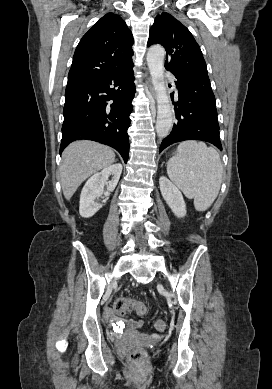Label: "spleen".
I'll list each match as a JSON object with an SVG mask.
<instances>
[{
	"mask_svg": "<svg viewBox=\"0 0 272 389\" xmlns=\"http://www.w3.org/2000/svg\"><path fill=\"white\" fill-rule=\"evenodd\" d=\"M223 167L218 152L203 142L184 141L167 163L169 178L184 195L194 198L197 211L207 210L216 199Z\"/></svg>",
	"mask_w": 272,
	"mask_h": 389,
	"instance_id": "3e777b00",
	"label": "spleen"
}]
</instances>
